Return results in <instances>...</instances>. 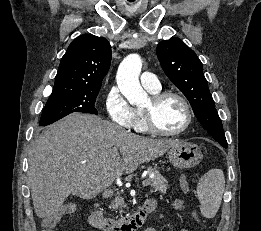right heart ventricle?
I'll use <instances>...</instances> for the list:
<instances>
[{"label": "right heart ventricle", "mask_w": 261, "mask_h": 231, "mask_svg": "<svg viewBox=\"0 0 261 231\" xmlns=\"http://www.w3.org/2000/svg\"><path fill=\"white\" fill-rule=\"evenodd\" d=\"M150 93L152 94H156L158 93L160 90L157 91H152L149 90ZM134 129L139 132V133H146L148 132V129L144 123V119H143V114H142V109L138 108L135 110V122H134Z\"/></svg>", "instance_id": "e07e8e85"}]
</instances>
